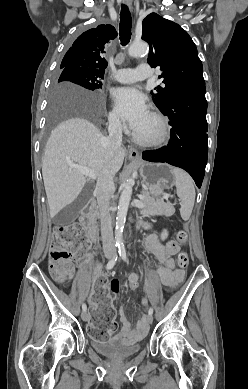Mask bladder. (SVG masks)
Here are the masks:
<instances>
[{"mask_svg": "<svg viewBox=\"0 0 248 389\" xmlns=\"http://www.w3.org/2000/svg\"><path fill=\"white\" fill-rule=\"evenodd\" d=\"M91 345L96 352L111 359L127 358L137 354L141 350L140 344H130L117 337L108 341H101L92 337Z\"/></svg>", "mask_w": 248, "mask_h": 389, "instance_id": "bladder-1", "label": "bladder"}]
</instances>
